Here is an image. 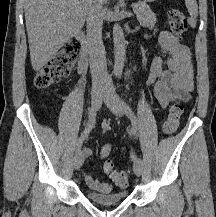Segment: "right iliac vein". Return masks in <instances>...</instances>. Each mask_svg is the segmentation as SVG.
<instances>
[{"instance_id":"1","label":"right iliac vein","mask_w":216,"mask_h":217,"mask_svg":"<svg viewBox=\"0 0 216 217\" xmlns=\"http://www.w3.org/2000/svg\"><path fill=\"white\" fill-rule=\"evenodd\" d=\"M104 95V88L98 87L92 90L91 93V104L93 107L98 109L102 102V97ZM84 153L79 150L74 157V168L76 170L80 169L84 163Z\"/></svg>"}]
</instances>
